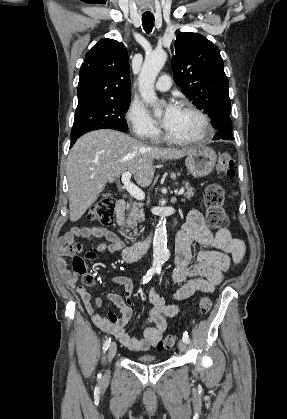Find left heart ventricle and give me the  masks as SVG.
<instances>
[{"mask_svg": "<svg viewBox=\"0 0 287 419\" xmlns=\"http://www.w3.org/2000/svg\"><path fill=\"white\" fill-rule=\"evenodd\" d=\"M166 131L174 137L188 139L199 136L203 132V127L196 115L181 107L166 127Z\"/></svg>", "mask_w": 287, "mask_h": 419, "instance_id": "b2bd125f", "label": "left heart ventricle"}]
</instances>
